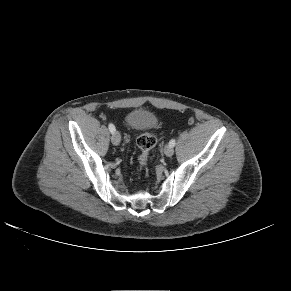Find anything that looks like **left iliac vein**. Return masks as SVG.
I'll list each match as a JSON object with an SVG mask.
<instances>
[{"mask_svg": "<svg viewBox=\"0 0 291 291\" xmlns=\"http://www.w3.org/2000/svg\"><path fill=\"white\" fill-rule=\"evenodd\" d=\"M164 153L166 156L170 157L174 154V149L173 147H171L170 145H167L165 148H164Z\"/></svg>", "mask_w": 291, "mask_h": 291, "instance_id": "4c4485c4", "label": "left iliac vein"}]
</instances>
